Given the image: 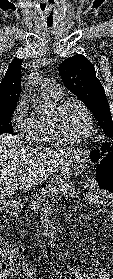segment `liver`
<instances>
[{
	"instance_id": "1",
	"label": "liver",
	"mask_w": 113,
	"mask_h": 279,
	"mask_svg": "<svg viewBox=\"0 0 113 279\" xmlns=\"http://www.w3.org/2000/svg\"><path fill=\"white\" fill-rule=\"evenodd\" d=\"M71 152L70 149L42 151L24 146L16 136L0 135V199L43 182Z\"/></svg>"
}]
</instances>
